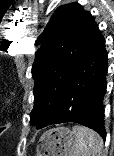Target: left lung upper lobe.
<instances>
[{"mask_svg": "<svg viewBox=\"0 0 114 156\" xmlns=\"http://www.w3.org/2000/svg\"><path fill=\"white\" fill-rule=\"evenodd\" d=\"M93 16L80 4L59 7L36 43L41 46L32 67L35 80L31 124L44 127L59 110L67 83L95 29Z\"/></svg>", "mask_w": 114, "mask_h": 156, "instance_id": "5c2ea615", "label": "left lung upper lobe"}]
</instances>
